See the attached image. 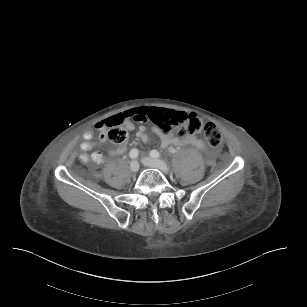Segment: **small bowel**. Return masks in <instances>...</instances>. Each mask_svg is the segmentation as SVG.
Masks as SVG:
<instances>
[{"mask_svg": "<svg viewBox=\"0 0 307 307\" xmlns=\"http://www.w3.org/2000/svg\"><path fill=\"white\" fill-rule=\"evenodd\" d=\"M148 111L149 109L145 107H139L129 111L127 114L133 116H145L148 113ZM126 127L128 129H132L133 125L130 122H127ZM97 128L100 130L102 129L100 124L97 126ZM155 131L160 136L161 146L163 148H166L171 145H191L203 152L207 150L204 142L201 139H199L196 135L178 136L173 133L164 134L157 129H155ZM136 136L138 139H140L143 142H148L150 140L146 132V127L144 125L139 127ZM104 140L105 138L103 133L100 135L99 139H95L94 132L92 130H87L84 133V142L80 145V149L84 152L81 155V160L83 162H93L97 164L103 163L105 161V157L101 152L96 151L91 154H87L86 152L92 150L98 144L99 141H104ZM125 151L126 147L122 146L117 149L111 150L109 153L110 155H114L116 153H123Z\"/></svg>", "mask_w": 307, "mask_h": 307, "instance_id": "c3829d8e", "label": "small bowel"}]
</instances>
